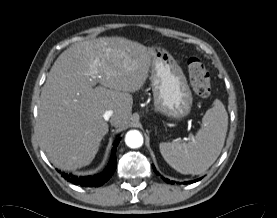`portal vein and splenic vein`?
<instances>
[{"label": "portal vein and splenic vein", "instance_id": "obj_1", "mask_svg": "<svg viewBox=\"0 0 277 218\" xmlns=\"http://www.w3.org/2000/svg\"><path fill=\"white\" fill-rule=\"evenodd\" d=\"M91 74H92V77L95 79V78H96V71L93 70V71L91 72Z\"/></svg>", "mask_w": 277, "mask_h": 218}]
</instances>
